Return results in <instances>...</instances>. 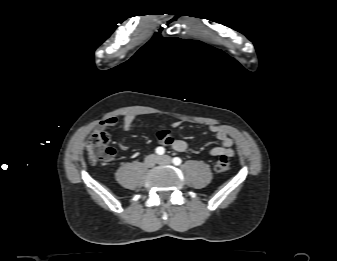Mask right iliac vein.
I'll return each instance as SVG.
<instances>
[{
    "label": "right iliac vein",
    "mask_w": 337,
    "mask_h": 261,
    "mask_svg": "<svg viewBox=\"0 0 337 261\" xmlns=\"http://www.w3.org/2000/svg\"><path fill=\"white\" fill-rule=\"evenodd\" d=\"M156 163H158V157L154 154H151L145 158V164L148 167H153Z\"/></svg>",
    "instance_id": "1"
}]
</instances>
